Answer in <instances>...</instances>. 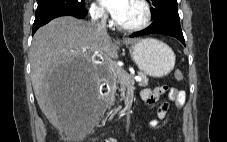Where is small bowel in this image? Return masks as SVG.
<instances>
[{"label":"small bowel","instance_id":"obj_1","mask_svg":"<svg viewBox=\"0 0 227 142\" xmlns=\"http://www.w3.org/2000/svg\"><path fill=\"white\" fill-rule=\"evenodd\" d=\"M165 93H168L169 98L175 102L177 106H182L185 103V93L177 88H169L167 86H159L154 89L145 88L141 91V98L147 104H155L159 97ZM168 113V103H162L157 109V117L150 122V127H155L160 120L166 118ZM103 142H117L113 138L105 139Z\"/></svg>","mask_w":227,"mask_h":142}]
</instances>
